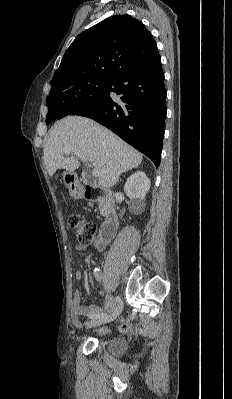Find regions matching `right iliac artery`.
<instances>
[{
	"label": "right iliac artery",
	"instance_id": "1",
	"mask_svg": "<svg viewBox=\"0 0 232 399\" xmlns=\"http://www.w3.org/2000/svg\"><path fill=\"white\" fill-rule=\"evenodd\" d=\"M93 273H94L95 278H96L98 281H100V280H101V270H100V268H99V267H95V268L93 269ZM115 300H116L117 303L120 302V296H119V295H116ZM105 315H106L105 313H102L101 315H100V314H97V315H90L89 318H91V319H92V318H100V317H103V316H105Z\"/></svg>",
	"mask_w": 232,
	"mask_h": 399
}]
</instances>
